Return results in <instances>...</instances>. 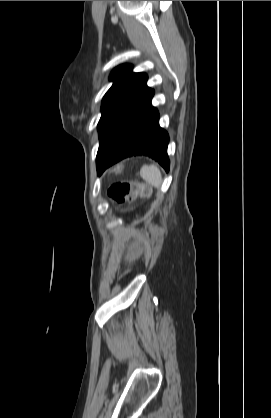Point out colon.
I'll return each mask as SVG.
<instances>
[{"label":"colon","mask_w":271,"mask_h":418,"mask_svg":"<svg viewBox=\"0 0 271 418\" xmlns=\"http://www.w3.org/2000/svg\"><path fill=\"white\" fill-rule=\"evenodd\" d=\"M148 194V186L136 181L118 182L112 185L108 190V195L111 200L117 203L131 200L136 195L146 197Z\"/></svg>","instance_id":"colon-1"}]
</instances>
